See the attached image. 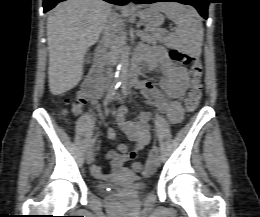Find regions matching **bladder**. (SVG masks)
<instances>
[{
    "instance_id": "31cf9c89",
    "label": "bladder",
    "mask_w": 260,
    "mask_h": 217,
    "mask_svg": "<svg viewBox=\"0 0 260 217\" xmlns=\"http://www.w3.org/2000/svg\"><path fill=\"white\" fill-rule=\"evenodd\" d=\"M138 177L139 176L129 168H120L108 178V184L100 185L99 189L106 192L108 185L124 187L128 191V196L138 197L144 194L147 189L146 184L137 182Z\"/></svg>"
}]
</instances>
